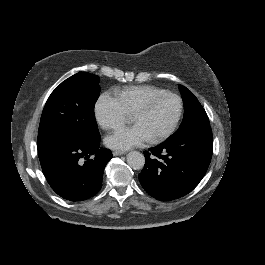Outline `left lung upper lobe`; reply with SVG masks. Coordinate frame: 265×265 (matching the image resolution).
Segmentation results:
<instances>
[{"label": "left lung upper lobe", "mask_w": 265, "mask_h": 265, "mask_svg": "<svg viewBox=\"0 0 265 265\" xmlns=\"http://www.w3.org/2000/svg\"><path fill=\"white\" fill-rule=\"evenodd\" d=\"M179 89L184 103V118L177 132L170 138L181 136L197 128L210 126L208 116L194 94L182 85H179Z\"/></svg>", "instance_id": "obj_1"}]
</instances>
